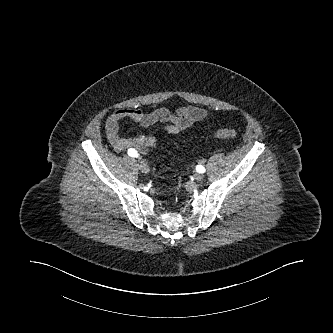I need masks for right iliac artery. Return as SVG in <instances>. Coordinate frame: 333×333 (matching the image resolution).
<instances>
[{"label":"right iliac artery","mask_w":333,"mask_h":333,"mask_svg":"<svg viewBox=\"0 0 333 333\" xmlns=\"http://www.w3.org/2000/svg\"><path fill=\"white\" fill-rule=\"evenodd\" d=\"M127 153L131 157H138L139 156L138 152L135 149H129Z\"/></svg>","instance_id":"1"}]
</instances>
